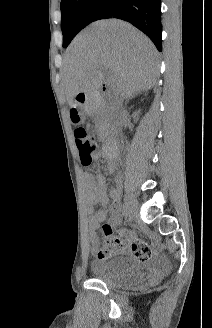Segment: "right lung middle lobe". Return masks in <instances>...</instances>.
<instances>
[{
	"label": "right lung middle lobe",
	"instance_id": "1",
	"mask_svg": "<svg viewBox=\"0 0 212 328\" xmlns=\"http://www.w3.org/2000/svg\"><path fill=\"white\" fill-rule=\"evenodd\" d=\"M103 0H62L61 29L63 47H67L72 39L88 24Z\"/></svg>",
	"mask_w": 212,
	"mask_h": 328
}]
</instances>
